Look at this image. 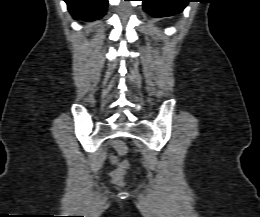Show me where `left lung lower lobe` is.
<instances>
[{"mask_svg": "<svg viewBox=\"0 0 260 217\" xmlns=\"http://www.w3.org/2000/svg\"><path fill=\"white\" fill-rule=\"evenodd\" d=\"M143 9L153 17H167L183 11L189 0H141Z\"/></svg>", "mask_w": 260, "mask_h": 217, "instance_id": "left-lung-lower-lobe-1", "label": "left lung lower lobe"}]
</instances>
